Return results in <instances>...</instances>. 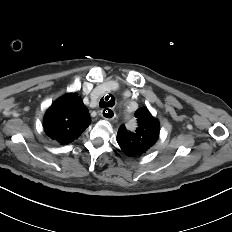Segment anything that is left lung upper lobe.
I'll list each match as a JSON object with an SVG mask.
<instances>
[{
	"mask_svg": "<svg viewBox=\"0 0 232 232\" xmlns=\"http://www.w3.org/2000/svg\"><path fill=\"white\" fill-rule=\"evenodd\" d=\"M138 126L135 131H128L122 124L117 133V142L124 154L140 157L147 153L159 137V122L146 107L135 113Z\"/></svg>",
	"mask_w": 232,
	"mask_h": 232,
	"instance_id": "1",
	"label": "left lung upper lobe"
}]
</instances>
